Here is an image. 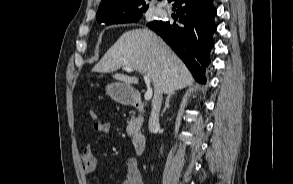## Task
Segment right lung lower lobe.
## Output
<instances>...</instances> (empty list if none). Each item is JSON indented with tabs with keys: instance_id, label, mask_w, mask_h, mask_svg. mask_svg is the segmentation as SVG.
Wrapping results in <instances>:
<instances>
[{
	"instance_id": "1",
	"label": "right lung lower lobe",
	"mask_w": 293,
	"mask_h": 184,
	"mask_svg": "<svg viewBox=\"0 0 293 184\" xmlns=\"http://www.w3.org/2000/svg\"><path fill=\"white\" fill-rule=\"evenodd\" d=\"M168 1L173 3L179 23L157 20L148 23V27L171 46L199 83H205V70L214 45L212 36L217 28L213 0Z\"/></svg>"
}]
</instances>
